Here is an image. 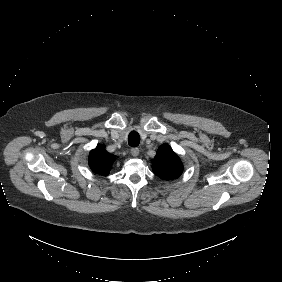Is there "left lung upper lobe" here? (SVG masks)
Segmentation results:
<instances>
[{"instance_id": "left-lung-upper-lobe-1", "label": "left lung upper lobe", "mask_w": 282, "mask_h": 282, "mask_svg": "<svg viewBox=\"0 0 282 282\" xmlns=\"http://www.w3.org/2000/svg\"><path fill=\"white\" fill-rule=\"evenodd\" d=\"M152 164L153 172L166 181L177 179L183 172L181 160L168 144L159 147Z\"/></svg>"}]
</instances>
